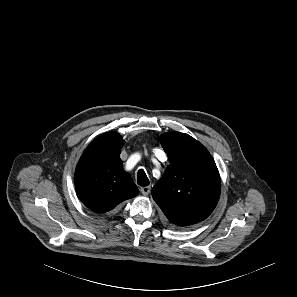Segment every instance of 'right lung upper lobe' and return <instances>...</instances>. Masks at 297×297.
<instances>
[{
	"label": "right lung upper lobe",
	"instance_id": "right-lung-upper-lobe-1",
	"mask_svg": "<svg viewBox=\"0 0 297 297\" xmlns=\"http://www.w3.org/2000/svg\"><path fill=\"white\" fill-rule=\"evenodd\" d=\"M123 139L114 132L96 138L81 156L75 171V188L85 206L97 213L112 210L139 190L120 159Z\"/></svg>",
	"mask_w": 297,
	"mask_h": 297
}]
</instances>
